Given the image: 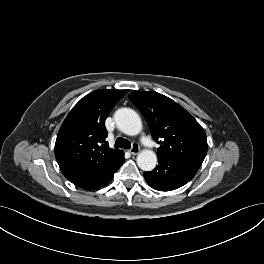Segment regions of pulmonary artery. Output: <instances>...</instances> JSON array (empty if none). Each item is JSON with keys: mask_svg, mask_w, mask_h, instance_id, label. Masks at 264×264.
Returning a JSON list of instances; mask_svg holds the SVG:
<instances>
[{"mask_svg": "<svg viewBox=\"0 0 264 264\" xmlns=\"http://www.w3.org/2000/svg\"><path fill=\"white\" fill-rule=\"evenodd\" d=\"M145 144H146L147 146H151V145H152L151 142H149V141H145Z\"/></svg>", "mask_w": 264, "mask_h": 264, "instance_id": "e3ab8cb5", "label": "pulmonary artery"}]
</instances>
